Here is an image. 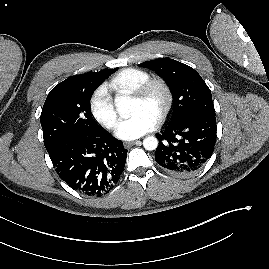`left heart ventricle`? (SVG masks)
Segmentation results:
<instances>
[{
	"label": "left heart ventricle",
	"mask_w": 269,
	"mask_h": 269,
	"mask_svg": "<svg viewBox=\"0 0 269 269\" xmlns=\"http://www.w3.org/2000/svg\"><path fill=\"white\" fill-rule=\"evenodd\" d=\"M164 103L163 92L156 88L145 100L133 99L131 114H135L138 111H146L157 118Z\"/></svg>",
	"instance_id": "left-heart-ventricle-1"
}]
</instances>
